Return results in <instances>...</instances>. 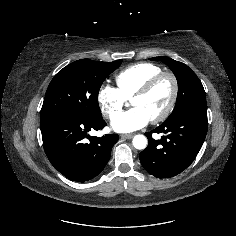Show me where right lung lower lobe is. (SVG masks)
<instances>
[{"label":"right lung lower lobe","mask_w":236,"mask_h":236,"mask_svg":"<svg viewBox=\"0 0 236 236\" xmlns=\"http://www.w3.org/2000/svg\"><path fill=\"white\" fill-rule=\"evenodd\" d=\"M106 122L69 112H59L40 119L43 147L51 164L65 177L85 182L96 177L107 164L119 136L107 134L90 137V130H100ZM86 138L89 142L86 143Z\"/></svg>","instance_id":"1"}]
</instances>
